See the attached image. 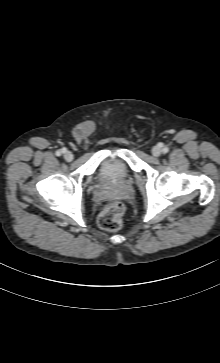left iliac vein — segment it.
Returning a JSON list of instances; mask_svg holds the SVG:
<instances>
[{"label": "left iliac vein", "instance_id": "obj_1", "mask_svg": "<svg viewBox=\"0 0 220 363\" xmlns=\"http://www.w3.org/2000/svg\"><path fill=\"white\" fill-rule=\"evenodd\" d=\"M161 153H162V148H161L160 146L156 145V146H154V147L152 148V154H153L155 157L160 156V155H161Z\"/></svg>", "mask_w": 220, "mask_h": 363}]
</instances>
